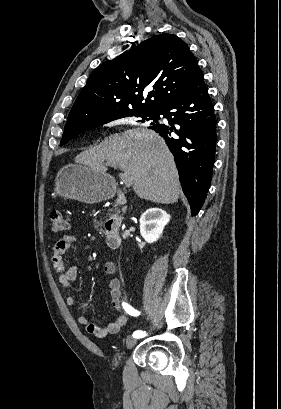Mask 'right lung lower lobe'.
<instances>
[{"label": "right lung lower lobe", "instance_id": "obj_1", "mask_svg": "<svg viewBox=\"0 0 281 409\" xmlns=\"http://www.w3.org/2000/svg\"><path fill=\"white\" fill-rule=\"evenodd\" d=\"M157 113L151 128L165 139L173 153L191 215L195 216L210 186L216 147V119L202 72ZM160 114L168 118V124L158 123Z\"/></svg>", "mask_w": 281, "mask_h": 409}]
</instances>
